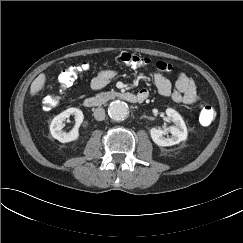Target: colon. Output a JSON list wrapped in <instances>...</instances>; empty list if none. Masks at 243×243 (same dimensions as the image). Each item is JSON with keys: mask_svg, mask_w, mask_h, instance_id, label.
<instances>
[{"mask_svg": "<svg viewBox=\"0 0 243 243\" xmlns=\"http://www.w3.org/2000/svg\"><path fill=\"white\" fill-rule=\"evenodd\" d=\"M117 60L125 65L133 67L153 66L160 73H171L174 71V67L171 64L161 61L153 63L149 58L128 52L121 53L117 57ZM91 67L92 64L90 62H82L76 66H70L63 69L58 78L60 83L58 93L47 95L42 101L43 108L46 110L55 108L60 102L61 95L65 90L74 83L79 75L88 72ZM215 117L216 113L213 107L207 104L200 106L199 119L203 125L211 124Z\"/></svg>", "mask_w": 243, "mask_h": 243, "instance_id": "1", "label": "colon"}]
</instances>
